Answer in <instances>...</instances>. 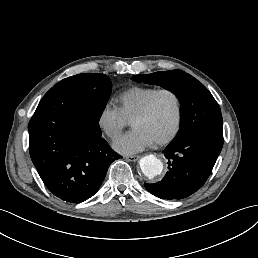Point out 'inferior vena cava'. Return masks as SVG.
Wrapping results in <instances>:
<instances>
[{
	"label": "inferior vena cava",
	"instance_id": "inferior-vena-cava-1",
	"mask_svg": "<svg viewBox=\"0 0 258 258\" xmlns=\"http://www.w3.org/2000/svg\"><path fill=\"white\" fill-rule=\"evenodd\" d=\"M111 134H112V131H108V132H107V135H108V136H111Z\"/></svg>",
	"mask_w": 258,
	"mask_h": 258
}]
</instances>
